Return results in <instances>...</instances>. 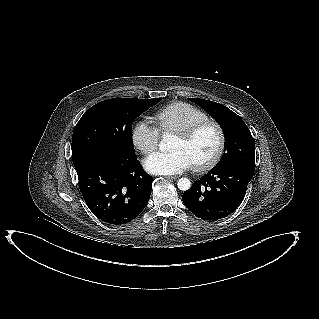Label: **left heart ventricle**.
<instances>
[{
	"instance_id": "obj_1",
	"label": "left heart ventricle",
	"mask_w": 319,
	"mask_h": 319,
	"mask_svg": "<svg viewBox=\"0 0 319 319\" xmlns=\"http://www.w3.org/2000/svg\"><path fill=\"white\" fill-rule=\"evenodd\" d=\"M217 146V134L212 127L200 130L190 140H183L174 136L169 149L183 150L191 160V163H201L208 160L214 153Z\"/></svg>"
}]
</instances>
